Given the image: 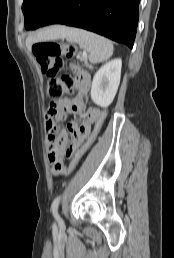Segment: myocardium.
<instances>
[{"mask_svg": "<svg viewBox=\"0 0 174 258\" xmlns=\"http://www.w3.org/2000/svg\"><path fill=\"white\" fill-rule=\"evenodd\" d=\"M51 3H52L51 0H42V1H39V3H38V8L44 9V8L48 7Z\"/></svg>", "mask_w": 174, "mask_h": 258, "instance_id": "f54148a6", "label": "myocardium"}]
</instances>
